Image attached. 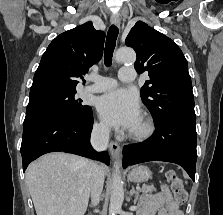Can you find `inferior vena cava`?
<instances>
[{
  "label": "inferior vena cava",
  "mask_w": 223,
  "mask_h": 215,
  "mask_svg": "<svg viewBox=\"0 0 223 215\" xmlns=\"http://www.w3.org/2000/svg\"><path fill=\"white\" fill-rule=\"evenodd\" d=\"M95 149H106L109 143V129L108 127H94L91 133L90 139ZM90 171V189L91 197L94 205L98 203L99 197L102 193L104 183V171L101 165H98L96 161H89Z\"/></svg>",
  "instance_id": "inferior-vena-cava-1"
}]
</instances>
